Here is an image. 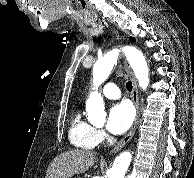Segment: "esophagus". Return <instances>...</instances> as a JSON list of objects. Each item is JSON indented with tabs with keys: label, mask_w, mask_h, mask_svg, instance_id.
Wrapping results in <instances>:
<instances>
[{
	"label": "esophagus",
	"mask_w": 194,
	"mask_h": 178,
	"mask_svg": "<svg viewBox=\"0 0 194 178\" xmlns=\"http://www.w3.org/2000/svg\"><path fill=\"white\" fill-rule=\"evenodd\" d=\"M124 64L126 66V71H127L128 75L130 76L132 84H133L132 101H133L135 108H136V117H135L134 123H133L130 131L117 145L114 146V148L111 150L110 153H117L125 144H127L130 141V139L135 134V131H136V128H137V125L139 122V117H140V107H139V96H138L137 82H136V79L134 77V74H133L131 68L127 65L125 60H124Z\"/></svg>",
	"instance_id": "1"
}]
</instances>
